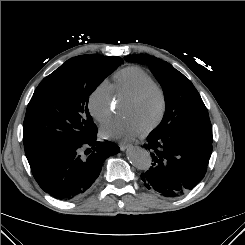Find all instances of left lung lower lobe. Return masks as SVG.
<instances>
[{
  "label": "left lung lower lobe",
  "mask_w": 245,
  "mask_h": 245,
  "mask_svg": "<svg viewBox=\"0 0 245 245\" xmlns=\"http://www.w3.org/2000/svg\"><path fill=\"white\" fill-rule=\"evenodd\" d=\"M145 148L152 166L141 174L148 189L167 197H178L204 177L212 153V142L190 132H152Z\"/></svg>",
  "instance_id": "1"
}]
</instances>
